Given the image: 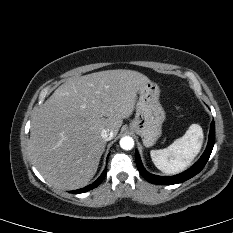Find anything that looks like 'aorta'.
Segmentation results:
<instances>
[{
    "mask_svg": "<svg viewBox=\"0 0 233 233\" xmlns=\"http://www.w3.org/2000/svg\"><path fill=\"white\" fill-rule=\"evenodd\" d=\"M120 147L124 150H131L134 147V140L130 136H125L120 139Z\"/></svg>",
    "mask_w": 233,
    "mask_h": 233,
    "instance_id": "762f6f07",
    "label": "aorta"
}]
</instances>
